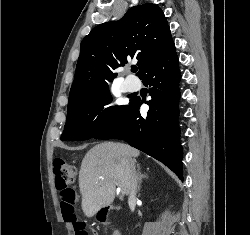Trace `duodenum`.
<instances>
[{"label":"duodenum","mask_w":250,"mask_h":235,"mask_svg":"<svg viewBox=\"0 0 250 235\" xmlns=\"http://www.w3.org/2000/svg\"><path fill=\"white\" fill-rule=\"evenodd\" d=\"M104 216L106 215V212H104L103 214ZM104 216H103V219H104ZM113 235H121L120 232L118 230L114 231Z\"/></svg>","instance_id":"410a0bca"}]
</instances>
